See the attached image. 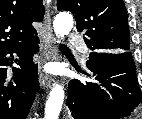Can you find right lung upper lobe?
Masks as SVG:
<instances>
[{"instance_id":"cb5924a9","label":"right lung upper lobe","mask_w":142,"mask_h":119,"mask_svg":"<svg viewBox=\"0 0 142 119\" xmlns=\"http://www.w3.org/2000/svg\"><path fill=\"white\" fill-rule=\"evenodd\" d=\"M42 0H0V50L18 46L37 34L33 21H42Z\"/></svg>"}]
</instances>
